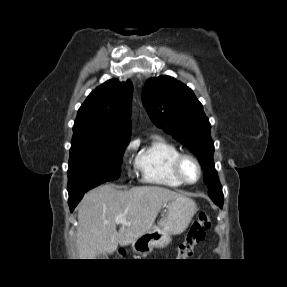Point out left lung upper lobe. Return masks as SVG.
<instances>
[{
  "mask_svg": "<svg viewBox=\"0 0 287 287\" xmlns=\"http://www.w3.org/2000/svg\"><path fill=\"white\" fill-rule=\"evenodd\" d=\"M142 92L144 106L153 122L198 157L210 198L215 204L223 205L222 187L213 162L211 125L192 90L164 75L148 79Z\"/></svg>",
  "mask_w": 287,
  "mask_h": 287,
  "instance_id": "obj_1",
  "label": "left lung upper lobe"
}]
</instances>
